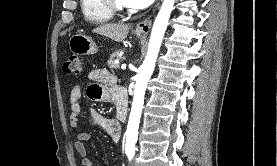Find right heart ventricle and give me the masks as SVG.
I'll return each mask as SVG.
<instances>
[{
  "mask_svg": "<svg viewBox=\"0 0 277 166\" xmlns=\"http://www.w3.org/2000/svg\"><path fill=\"white\" fill-rule=\"evenodd\" d=\"M80 5L85 19L95 24L109 22L114 17L103 0H80Z\"/></svg>",
  "mask_w": 277,
  "mask_h": 166,
  "instance_id": "obj_1",
  "label": "right heart ventricle"
}]
</instances>
